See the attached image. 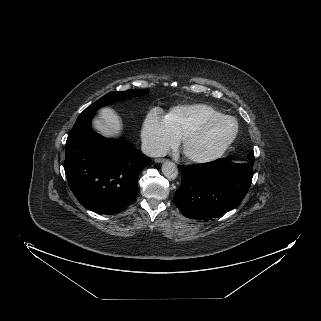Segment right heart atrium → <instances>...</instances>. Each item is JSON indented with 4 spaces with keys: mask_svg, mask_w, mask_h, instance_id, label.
<instances>
[{
    "mask_svg": "<svg viewBox=\"0 0 321 321\" xmlns=\"http://www.w3.org/2000/svg\"><path fill=\"white\" fill-rule=\"evenodd\" d=\"M141 139L146 152L150 155L161 154L176 143L159 110L151 112L145 119Z\"/></svg>",
    "mask_w": 321,
    "mask_h": 321,
    "instance_id": "1",
    "label": "right heart atrium"
}]
</instances>
